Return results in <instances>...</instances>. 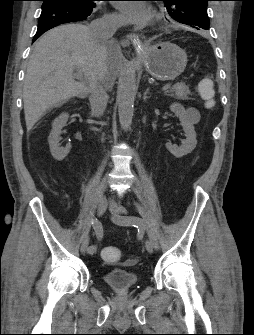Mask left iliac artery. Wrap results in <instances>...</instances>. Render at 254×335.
I'll list each match as a JSON object with an SVG mask.
<instances>
[{
  "label": "left iliac artery",
  "mask_w": 254,
  "mask_h": 335,
  "mask_svg": "<svg viewBox=\"0 0 254 335\" xmlns=\"http://www.w3.org/2000/svg\"><path fill=\"white\" fill-rule=\"evenodd\" d=\"M122 221L128 222L136 228L144 229L148 235L154 248L159 249V243L151 228L139 217L136 216H122Z\"/></svg>",
  "instance_id": "left-iliac-artery-1"
}]
</instances>
